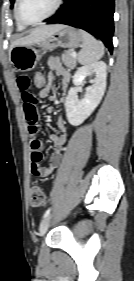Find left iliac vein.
<instances>
[{"mask_svg": "<svg viewBox=\"0 0 134 281\" xmlns=\"http://www.w3.org/2000/svg\"><path fill=\"white\" fill-rule=\"evenodd\" d=\"M51 219H52V216H51V215H48V216L42 221V223H41V225H40V228H39V234H40V236H43V235L46 233V231H47V229H48V227H49V224H50V222H51Z\"/></svg>", "mask_w": 134, "mask_h": 281, "instance_id": "left-iliac-vein-1", "label": "left iliac vein"}]
</instances>
